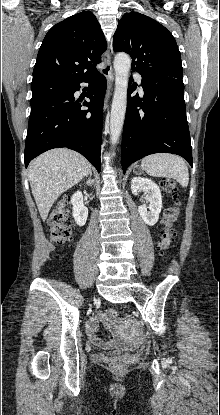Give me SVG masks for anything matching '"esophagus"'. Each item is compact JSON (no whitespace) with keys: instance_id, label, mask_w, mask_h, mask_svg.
I'll use <instances>...</instances> for the list:
<instances>
[{"instance_id":"34e87169","label":"esophagus","mask_w":220,"mask_h":415,"mask_svg":"<svg viewBox=\"0 0 220 415\" xmlns=\"http://www.w3.org/2000/svg\"><path fill=\"white\" fill-rule=\"evenodd\" d=\"M104 63L105 66L103 68V74L106 76L108 81L107 91L104 99V109H106L111 97L112 86L114 83V72L111 64L110 47H108L107 51L104 54Z\"/></svg>"}]
</instances>
